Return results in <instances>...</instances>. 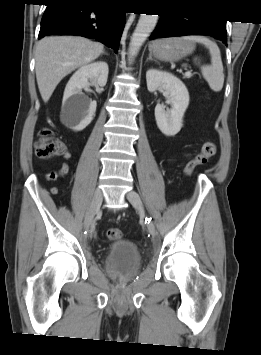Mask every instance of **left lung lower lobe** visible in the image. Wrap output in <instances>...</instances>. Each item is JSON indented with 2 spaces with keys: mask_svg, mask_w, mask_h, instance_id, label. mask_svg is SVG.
<instances>
[{
  "mask_svg": "<svg viewBox=\"0 0 261 355\" xmlns=\"http://www.w3.org/2000/svg\"><path fill=\"white\" fill-rule=\"evenodd\" d=\"M181 35L212 36L227 45L226 21L223 19H200L176 15H161L150 39Z\"/></svg>",
  "mask_w": 261,
  "mask_h": 355,
  "instance_id": "obj_1",
  "label": "left lung lower lobe"
}]
</instances>
